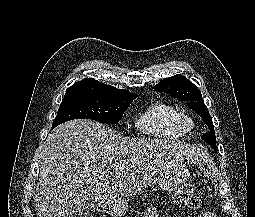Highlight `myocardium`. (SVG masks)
<instances>
[{
  "mask_svg": "<svg viewBox=\"0 0 255 217\" xmlns=\"http://www.w3.org/2000/svg\"><path fill=\"white\" fill-rule=\"evenodd\" d=\"M181 125L185 131H191L194 128L195 123L191 117H189L187 115H182L181 116Z\"/></svg>",
  "mask_w": 255,
  "mask_h": 217,
  "instance_id": "obj_1",
  "label": "myocardium"
}]
</instances>
